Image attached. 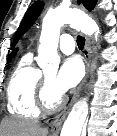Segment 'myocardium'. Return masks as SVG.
I'll return each mask as SVG.
<instances>
[{
    "instance_id": "1",
    "label": "myocardium",
    "mask_w": 117,
    "mask_h": 136,
    "mask_svg": "<svg viewBox=\"0 0 117 136\" xmlns=\"http://www.w3.org/2000/svg\"><path fill=\"white\" fill-rule=\"evenodd\" d=\"M37 107L41 112L52 113L59 109L63 104V97L59 95L55 101H51L49 96V83L46 78L41 80L37 95H36Z\"/></svg>"
}]
</instances>
